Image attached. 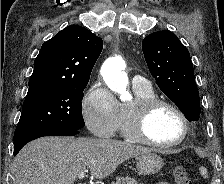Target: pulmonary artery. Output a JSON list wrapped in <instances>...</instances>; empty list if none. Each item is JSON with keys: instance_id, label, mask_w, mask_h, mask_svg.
I'll return each mask as SVG.
<instances>
[{"instance_id": "obj_1", "label": "pulmonary artery", "mask_w": 224, "mask_h": 184, "mask_svg": "<svg viewBox=\"0 0 224 184\" xmlns=\"http://www.w3.org/2000/svg\"><path fill=\"white\" fill-rule=\"evenodd\" d=\"M132 83H133V86H135V87H142V88L150 87L148 80L141 75L133 76Z\"/></svg>"}]
</instances>
